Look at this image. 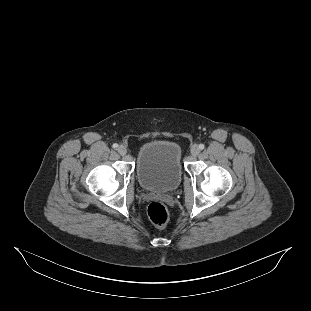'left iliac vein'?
Returning a JSON list of instances; mask_svg holds the SVG:
<instances>
[{
	"mask_svg": "<svg viewBox=\"0 0 311 311\" xmlns=\"http://www.w3.org/2000/svg\"><path fill=\"white\" fill-rule=\"evenodd\" d=\"M199 152H200V149H199V147L197 145H193L191 147V154L193 156H197L199 154Z\"/></svg>",
	"mask_w": 311,
	"mask_h": 311,
	"instance_id": "4c4485c4",
	"label": "left iliac vein"
}]
</instances>
